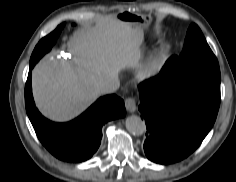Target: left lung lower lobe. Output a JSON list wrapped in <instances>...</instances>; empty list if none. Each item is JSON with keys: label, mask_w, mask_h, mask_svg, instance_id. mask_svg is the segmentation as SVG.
I'll return each instance as SVG.
<instances>
[{"label": "left lung lower lobe", "mask_w": 236, "mask_h": 182, "mask_svg": "<svg viewBox=\"0 0 236 182\" xmlns=\"http://www.w3.org/2000/svg\"><path fill=\"white\" fill-rule=\"evenodd\" d=\"M169 61L158 76L138 86L139 110L147 125L144 152L159 164L181 161L196 150L220 105V82L172 76Z\"/></svg>", "instance_id": "1"}]
</instances>
